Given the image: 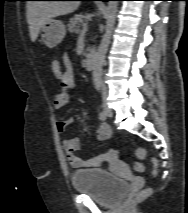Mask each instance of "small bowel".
<instances>
[{
	"label": "small bowel",
	"instance_id": "obj_1",
	"mask_svg": "<svg viewBox=\"0 0 188 213\" xmlns=\"http://www.w3.org/2000/svg\"><path fill=\"white\" fill-rule=\"evenodd\" d=\"M64 71L58 76L60 93L53 100L55 110L64 109L71 99V90L75 87V77L72 63L68 56L63 59ZM74 122L73 118L58 120L56 123L57 130L64 132ZM98 139L101 141L108 140L111 137V128L105 122H100L97 127ZM64 151L69 164L76 169L99 167L104 163L113 162L116 159V151L109 150L108 152L94 156L88 159H82L76 156L75 152L80 147L79 138L67 139L63 142Z\"/></svg>",
	"mask_w": 188,
	"mask_h": 213
}]
</instances>
